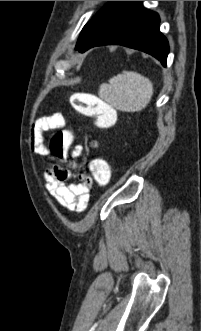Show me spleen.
<instances>
[{
	"label": "spleen",
	"instance_id": "3e777b00",
	"mask_svg": "<svg viewBox=\"0 0 201 331\" xmlns=\"http://www.w3.org/2000/svg\"><path fill=\"white\" fill-rule=\"evenodd\" d=\"M100 96L117 110L137 112L146 108L153 95L152 82L137 72L123 71L100 86Z\"/></svg>",
	"mask_w": 201,
	"mask_h": 331
}]
</instances>
